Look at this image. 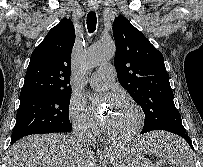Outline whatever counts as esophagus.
Returning a JSON list of instances; mask_svg holds the SVG:
<instances>
[{"mask_svg":"<svg viewBox=\"0 0 203 167\" xmlns=\"http://www.w3.org/2000/svg\"><path fill=\"white\" fill-rule=\"evenodd\" d=\"M88 6H89L90 10H96L98 8L97 3L96 2H92V1L89 2Z\"/></svg>","mask_w":203,"mask_h":167,"instance_id":"obj_1","label":"esophagus"}]
</instances>
